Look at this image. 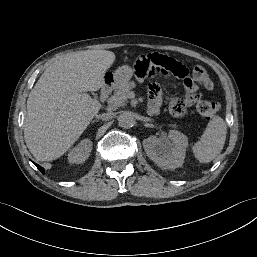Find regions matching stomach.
Segmentation results:
<instances>
[{"label": "stomach", "instance_id": "1", "mask_svg": "<svg viewBox=\"0 0 257 257\" xmlns=\"http://www.w3.org/2000/svg\"><path fill=\"white\" fill-rule=\"evenodd\" d=\"M133 75V69L128 65H123L118 67L115 72L112 73L111 82L116 85H121L125 82H128Z\"/></svg>", "mask_w": 257, "mask_h": 257}]
</instances>
